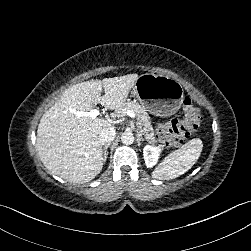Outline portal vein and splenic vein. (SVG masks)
I'll return each mask as SVG.
<instances>
[{"label": "portal vein and splenic vein", "mask_w": 251, "mask_h": 251, "mask_svg": "<svg viewBox=\"0 0 251 251\" xmlns=\"http://www.w3.org/2000/svg\"><path fill=\"white\" fill-rule=\"evenodd\" d=\"M69 111L72 112L77 118H80V117H83V116H89V117L95 119L97 116L100 115V112L97 109H92L89 112L77 111L75 109H69ZM125 113H126L127 116H129L131 118L135 117V113L130 111V110L125 111ZM115 118H116V116H111V118H108V121L111 122Z\"/></svg>", "instance_id": "1"}]
</instances>
